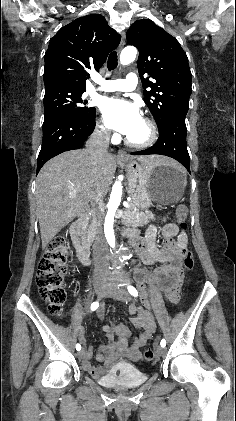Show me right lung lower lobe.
<instances>
[{
    "label": "right lung lower lobe",
    "mask_w": 236,
    "mask_h": 421,
    "mask_svg": "<svg viewBox=\"0 0 236 421\" xmlns=\"http://www.w3.org/2000/svg\"><path fill=\"white\" fill-rule=\"evenodd\" d=\"M96 111L86 121L66 116L52 118L43 123L42 147L37 160V173L52 157L83 146L95 127Z\"/></svg>",
    "instance_id": "right-lung-lower-lobe-1"
}]
</instances>
